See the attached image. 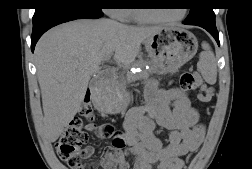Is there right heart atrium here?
I'll return each instance as SVG.
<instances>
[{
  "label": "right heart atrium",
  "instance_id": "obj_1",
  "mask_svg": "<svg viewBox=\"0 0 252 169\" xmlns=\"http://www.w3.org/2000/svg\"><path fill=\"white\" fill-rule=\"evenodd\" d=\"M106 12L110 17L116 20L123 21L126 18V9L121 8L106 9Z\"/></svg>",
  "mask_w": 252,
  "mask_h": 169
}]
</instances>
